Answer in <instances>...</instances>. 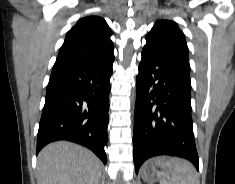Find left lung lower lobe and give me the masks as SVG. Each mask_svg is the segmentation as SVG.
I'll use <instances>...</instances> for the list:
<instances>
[{
    "label": "left lung lower lobe",
    "mask_w": 235,
    "mask_h": 184,
    "mask_svg": "<svg viewBox=\"0 0 235 184\" xmlns=\"http://www.w3.org/2000/svg\"><path fill=\"white\" fill-rule=\"evenodd\" d=\"M190 71L173 53L155 43L142 50L136 77L134 164L136 173L148 158L171 155L199 168L191 117Z\"/></svg>",
    "instance_id": "1"
}]
</instances>
